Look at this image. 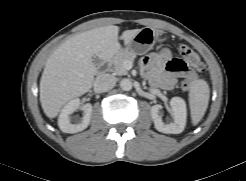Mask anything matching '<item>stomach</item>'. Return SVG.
<instances>
[{
  "instance_id": "obj_1",
  "label": "stomach",
  "mask_w": 246,
  "mask_h": 181,
  "mask_svg": "<svg viewBox=\"0 0 246 181\" xmlns=\"http://www.w3.org/2000/svg\"><path fill=\"white\" fill-rule=\"evenodd\" d=\"M162 35L152 28H143L141 31L126 45L124 51H130L138 55L147 53L158 41Z\"/></svg>"
}]
</instances>
